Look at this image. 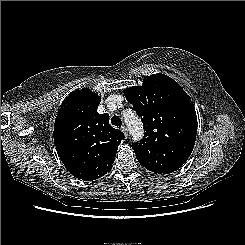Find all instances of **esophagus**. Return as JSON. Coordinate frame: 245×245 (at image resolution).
<instances>
[{"label": "esophagus", "mask_w": 245, "mask_h": 245, "mask_svg": "<svg viewBox=\"0 0 245 245\" xmlns=\"http://www.w3.org/2000/svg\"><path fill=\"white\" fill-rule=\"evenodd\" d=\"M121 130H122V132L124 133L125 137H127V136H128V130H127L126 126L123 125V126L121 127Z\"/></svg>", "instance_id": "34e87169"}]
</instances>
